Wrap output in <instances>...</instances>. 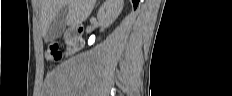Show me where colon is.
<instances>
[{
    "mask_svg": "<svg viewBox=\"0 0 232 96\" xmlns=\"http://www.w3.org/2000/svg\"><path fill=\"white\" fill-rule=\"evenodd\" d=\"M47 54H48L49 59L55 63H60L64 59V54L60 48V45L57 43H53L49 45Z\"/></svg>",
    "mask_w": 232,
    "mask_h": 96,
    "instance_id": "1",
    "label": "colon"
}]
</instances>
